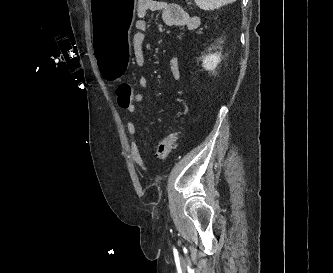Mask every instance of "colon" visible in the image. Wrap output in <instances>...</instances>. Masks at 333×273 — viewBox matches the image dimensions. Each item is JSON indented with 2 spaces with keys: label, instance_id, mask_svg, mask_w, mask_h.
<instances>
[{
  "label": "colon",
  "instance_id": "obj_1",
  "mask_svg": "<svg viewBox=\"0 0 333 273\" xmlns=\"http://www.w3.org/2000/svg\"><path fill=\"white\" fill-rule=\"evenodd\" d=\"M118 104L122 109H128L134 104L133 90L129 84L122 83L117 89ZM178 133L172 131L162 138L156 145L155 156L160 160H165L176 148Z\"/></svg>",
  "mask_w": 333,
  "mask_h": 273
}]
</instances>
